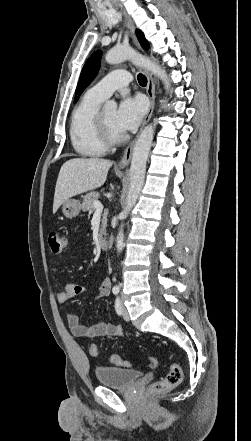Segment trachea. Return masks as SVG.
Returning a JSON list of instances; mask_svg holds the SVG:
<instances>
[{"instance_id": "trachea-1", "label": "trachea", "mask_w": 251, "mask_h": 441, "mask_svg": "<svg viewBox=\"0 0 251 441\" xmlns=\"http://www.w3.org/2000/svg\"><path fill=\"white\" fill-rule=\"evenodd\" d=\"M138 82L141 86H146L147 84V78L143 74H138Z\"/></svg>"}]
</instances>
